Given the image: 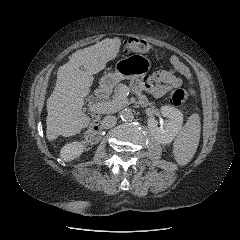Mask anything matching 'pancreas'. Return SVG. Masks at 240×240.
I'll list each match as a JSON object with an SVG mask.
<instances>
[{
    "instance_id": "1",
    "label": "pancreas",
    "mask_w": 240,
    "mask_h": 240,
    "mask_svg": "<svg viewBox=\"0 0 240 240\" xmlns=\"http://www.w3.org/2000/svg\"><path fill=\"white\" fill-rule=\"evenodd\" d=\"M123 87L124 85L121 83L115 87L112 100L109 101L110 103H114V106L110 110H118L129 105V100L127 95L123 92Z\"/></svg>"
}]
</instances>
